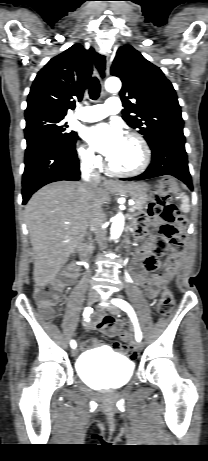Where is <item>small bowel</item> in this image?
<instances>
[{
    "instance_id": "c3829d8e",
    "label": "small bowel",
    "mask_w": 208,
    "mask_h": 461,
    "mask_svg": "<svg viewBox=\"0 0 208 461\" xmlns=\"http://www.w3.org/2000/svg\"><path fill=\"white\" fill-rule=\"evenodd\" d=\"M139 217L136 220L135 235L137 238H142L146 234L148 227L154 226L156 234H150L147 240L145 250L141 253L143 269L139 272L138 278L141 285L146 287V294L148 297H155L161 287L170 279V275L153 277L149 271L155 269L159 262L157 256L164 253L165 250H170L172 246V255L167 258L168 266H179V256L185 255V248H181L182 242L186 241V234L183 230L179 229L178 225H158L159 221L156 219L148 218L150 215L149 209H139ZM79 268L78 263H66L65 269L67 271H77ZM59 280L61 282H71L73 280L72 274H60ZM91 325L97 328L102 333L111 338L110 349L116 354L123 352L122 340L130 341L131 336L128 332L122 331V322L113 318L110 315H103L96 317ZM119 334L120 337H114ZM104 345L100 339H90L86 342L80 343L81 350H88L90 348H98Z\"/></svg>"
}]
</instances>
